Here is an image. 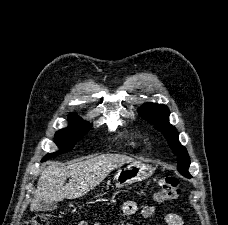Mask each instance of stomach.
Listing matches in <instances>:
<instances>
[{
	"instance_id": "obj_1",
	"label": "stomach",
	"mask_w": 228,
	"mask_h": 225,
	"mask_svg": "<svg viewBox=\"0 0 228 225\" xmlns=\"http://www.w3.org/2000/svg\"><path fill=\"white\" fill-rule=\"evenodd\" d=\"M152 171L153 169L150 165L141 163V161L128 163L126 167H122V169L116 171V187L117 189H121V187H128V185H132V183H140V181L151 177Z\"/></svg>"
}]
</instances>
